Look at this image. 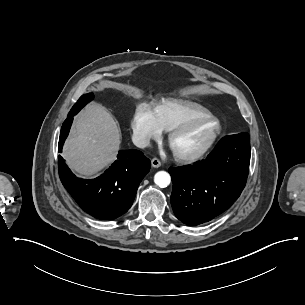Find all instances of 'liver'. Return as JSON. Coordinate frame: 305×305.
<instances>
[{
	"label": "liver",
	"instance_id": "obj_1",
	"mask_svg": "<svg viewBox=\"0 0 305 305\" xmlns=\"http://www.w3.org/2000/svg\"><path fill=\"white\" fill-rule=\"evenodd\" d=\"M120 137L112 115L100 105H89L76 119L63 156L76 173L91 177L115 159Z\"/></svg>",
	"mask_w": 305,
	"mask_h": 305
}]
</instances>
